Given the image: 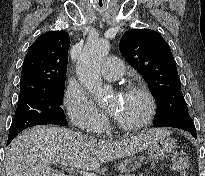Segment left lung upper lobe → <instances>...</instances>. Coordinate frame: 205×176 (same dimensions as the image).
<instances>
[{"label": "left lung upper lobe", "instance_id": "5c2ea615", "mask_svg": "<svg viewBox=\"0 0 205 176\" xmlns=\"http://www.w3.org/2000/svg\"><path fill=\"white\" fill-rule=\"evenodd\" d=\"M119 48L157 100L154 125L188 114L176 62L160 33L150 29L129 30L122 36Z\"/></svg>", "mask_w": 205, "mask_h": 176}]
</instances>
